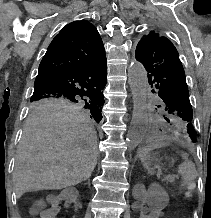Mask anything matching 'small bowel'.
Here are the masks:
<instances>
[{
  "label": "small bowel",
  "mask_w": 211,
  "mask_h": 218,
  "mask_svg": "<svg viewBox=\"0 0 211 218\" xmlns=\"http://www.w3.org/2000/svg\"><path fill=\"white\" fill-rule=\"evenodd\" d=\"M60 210L56 206H51L45 209L41 213V218H59ZM163 215V209L159 206H152L146 208L141 218H161Z\"/></svg>",
  "instance_id": "1"
}]
</instances>
